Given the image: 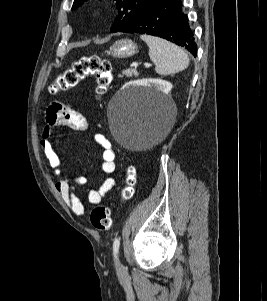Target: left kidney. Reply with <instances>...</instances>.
<instances>
[{
  "instance_id": "obj_1",
  "label": "left kidney",
  "mask_w": 267,
  "mask_h": 301,
  "mask_svg": "<svg viewBox=\"0 0 267 301\" xmlns=\"http://www.w3.org/2000/svg\"><path fill=\"white\" fill-rule=\"evenodd\" d=\"M130 86H154L159 91L168 94L172 89V84L168 81L161 79H146L141 81L130 82L126 84L123 89L129 88Z\"/></svg>"
}]
</instances>
